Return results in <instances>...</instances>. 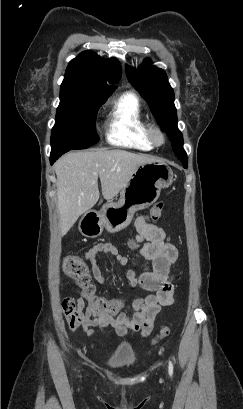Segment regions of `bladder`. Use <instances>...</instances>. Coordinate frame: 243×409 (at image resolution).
<instances>
[{
	"instance_id": "31cf9c89",
	"label": "bladder",
	"mask_w": 243,
	"mask_h": 409,
	"mask_svg": "<svg viewBox=\"0 0 243 409\" xmlns=\"http://www.w3.org/2000/svg\"><path fill=\"white\" fill-rule=\"evenodd\" d=\"M133 361L129 358H117L109 361L106 366L113 370H121L132 366Z\"/></svg>"
}]
</instances>
